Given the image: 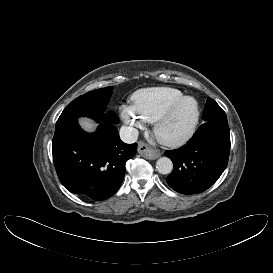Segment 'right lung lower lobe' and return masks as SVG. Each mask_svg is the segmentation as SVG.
<instances>
[{
    "label": "right lung lower lobe",
    "instance_id": "98d812e1",
    "mask_svg": "<svg viewBox=\"0 0 273 273\" xmlns=\"http://www.w3.org/2000/svg\"><path fill=\"white\" fill-rule=\"evenodd\" d=\"M94 133L84 132L77 120L56 126L52 140L53 161L63 186L93 200L111 197L119 189L125 163L137 143L121 141L114 123L99 122Z\"/></svg>",
    "mask_w": 273,
    "mask_h": 273
}]
</instances>
